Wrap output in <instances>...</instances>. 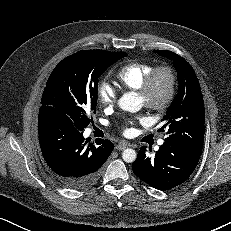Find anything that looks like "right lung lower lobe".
I'll return each mask as SVG.
<instances>
[{
    "label": "right lung lower lobe",
    "instance_id": "obj_1",
    "mask_svg": "<svg viewBox=\"0 0 231 231\" xmlns=\"http://www.w3.org/2000/svg\"><path fill=\"white\" fill-rule=\"evenodd\" d=\"M39 143L53 177L67 188H84L98 179L114 149L109 140H85L70 118L51 106H41Z\"/></svg>",
    "mask_w": 231,
    "mask_h": 231
}]
</instances>
